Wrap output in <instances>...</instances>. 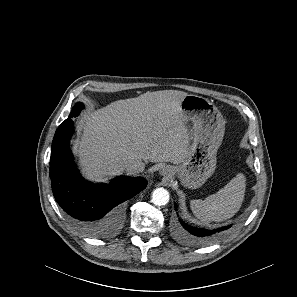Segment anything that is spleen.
Wrapping results in <instances>:
<instances>
[{
  "label": "spleen",
  "instance_id": "obj_1",
  "mask_svg": "<svg viewBox=\"0 0 297 297\" xmlns=\"http://www.w3.org/2000/svg\"><path fill=\"white\" fill-rule=\"evenodd\" d=\"M246 177L238 173L227 185L216 194L205 200H191L190 206L194 215L202 222H219L234 216L244 201Z\"/></svg>",
  "mask_w": 297,
  "mask_h": 297
}]
</instances>
